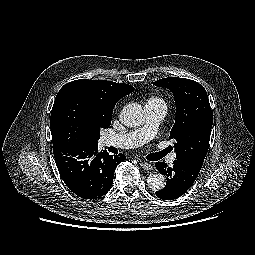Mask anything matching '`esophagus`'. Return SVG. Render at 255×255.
I'll return each mask as SVG.
<instances>
[{"instance_id":"1","label":"esophagus","mask_w":255,"mask_h":255,"mask_svg":"<svg viewBox=\"0 0 255 255\" xmlns=\"http://www.w3.org/2000/svg\"><path fill=\"white\" fill-rule=\"evenodd\" d=\"M140 166L145 169V170H152L153 169V166L152 164L148 163V162H140Z\"/></svg>"}]
</instances>
